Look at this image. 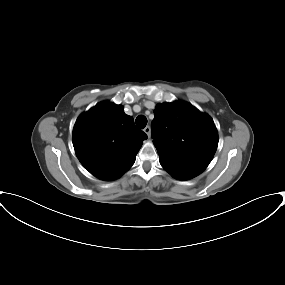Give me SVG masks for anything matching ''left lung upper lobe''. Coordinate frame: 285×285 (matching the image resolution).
Masks as SVG:
<instances>
[{"mask_svg": "<svg viewBox=\"0 0 285 285\" xmlns=\"http://www.w3.org/2000/svg\"><path fill=\"white\" fill-rule=\"evenodd\" d=\"M151 124L159 159L203 172L218 146L210 116L183 101L158 104Z\"/></svg>", "mask_w": 285, "mask_h": 285, "instance_id": "left-lung-upper-lobe-1", "label": "left lung upper lobe"}]
</instances>
